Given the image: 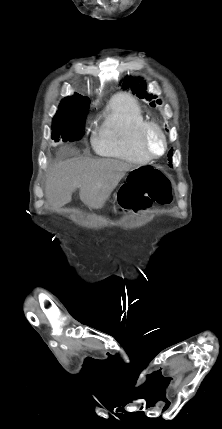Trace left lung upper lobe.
Wrapping results in <instances>:
<instances>
[{
    "label": "left lung upper lobe",
    "instance_id": "1",
    "mask_svg": "<svg viewBox=\"0 0 222 429\" xmlns=\"http://www.w3.org/2000/svg\"><path fill=\"white\" fill-rule=\"evenodd\" d=\"M123 81H124L122 84L123 87L124 88L131 87L134 92H137L138 97L145 98L149 101H151L152 99H156V96H153L152 94H147L145 92L146 84H145V81H142V78H133L131 76H126ZM156 103L161 104V101L159 99L156 101H151L150 105L152 107H155ZM172 155H173V152L172 150H170L168 153L169 163L172 162ZM170 167H172V165H170Z\"/></svg>",
    "mask_w": 222,
    "mask_h": 429
}]
</instances>
